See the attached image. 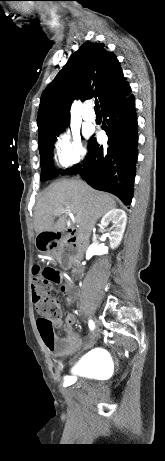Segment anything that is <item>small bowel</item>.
<instances>
[{"instance_id":"1","label":"small bowel","mask_w":165,"mask_h":461,"mask_svg":"<svg viewBox=\"0 0 165 461\" xmlns=\"http://www.w3.org/2000/svg\"><path fill=\"white\" fill-rule=\"evenodd\" d=\"M72 261L74 263H77L79 261V258L77 256H74L72 258ZM75 268L77 267L76 265L74 266ZM72 268V265L70 263H62V269L64 271H69ZM75 275L78 273L75 272ZM65 288V285L63 283H58L57 284V289L59 291H62ZM63 300L65 303H72L74 300L73 295H65L64 293L62 294ZM75 322V318L71 313H66L64 320H61L60 318H56L53 320V325L54 327L58 329H63L65 332V336L56 342V346L54 349H49L55 356L57 357H62L71 351L78 349L82 346V341L79 337V334L74 331L72 325ZM92 344L90 341L85 347H88Z\"/></svg>"}]
</instances>
